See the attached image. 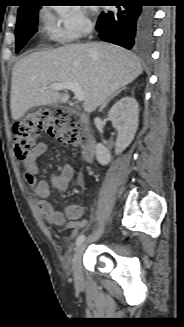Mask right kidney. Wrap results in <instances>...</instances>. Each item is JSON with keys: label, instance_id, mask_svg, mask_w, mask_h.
<instances>
[{"label": "right kidney", "instance_id": "1", "mask_svg": "<svg viewBox=\"0 0 184 327\" xmlns=\"http://www.w3.org/2000/svg\"><path fill=\"white\" fill-rule=\"evenodd\" d=\"M108 117L118 132L115 143V153L118 155L133 141L138 129V102L132 97H123L112 106ZM96 159L102 165H107L112 159L109 150L101 143L96 146Z\"/></svg>", "mask_w": 184, "mask_h": 327}]
</instances>
